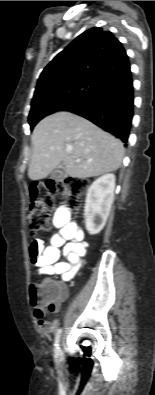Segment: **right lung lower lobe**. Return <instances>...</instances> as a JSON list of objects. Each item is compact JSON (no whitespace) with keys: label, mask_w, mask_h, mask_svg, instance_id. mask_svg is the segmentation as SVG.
<instances>
[{"label":"right lung lower lobe","mask_w":155,"mask_h":395,"mask_svg":"<svg viewBox=\"0 0 155 395\" xmlns=\"http://www.w3.org/2000/svg\"><path fill=\"white\" fill-rule=\"evenodd\" d=\"M134 108V89L130 68L106 76L98 88L77 103L65 108L127 142Z\"/></svg>","instance_id":"right-lung-lower-lobe-1"}]
</instances>
